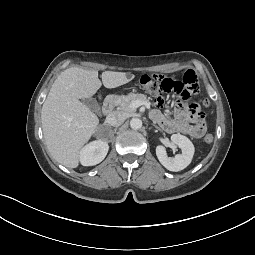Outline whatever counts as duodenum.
<instances>
[{
    "mask_svg": "<svg viewBox=\"0 0 255 255\" xmlns=\"http://www.w3.org/2000/svg\"><path fill=\"white\" fill-rule=\"evenodd\" d=\"M116 98V95H109L105 98L102 106V111L105 115H109L112 113L116 104Z\"/></svg>",
    "mask_w": 255,
    "mask_h": 255,
    "instance_id": "obj_1",
    "label": "duodenum"
}]
</instances>
